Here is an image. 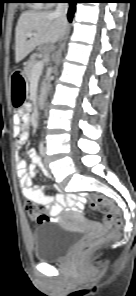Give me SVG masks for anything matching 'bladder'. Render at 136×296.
I'll return each instance as SVG.
<instances>
[{"label":"bladder","instance_id":"1","mask_svg":"<svg viewBox=\"0 0 136 296\" xmlns=\"http://www.w3.org/2000/svg\"><path fill=\"white\" fill-rule=\"evenodd\" d=\"M79 232L58 223H43L32 232L35 258L41 262H55L63 258L77 242Z\"/></svg>","mask_w":136,"mask_h":296}]
</instances>
